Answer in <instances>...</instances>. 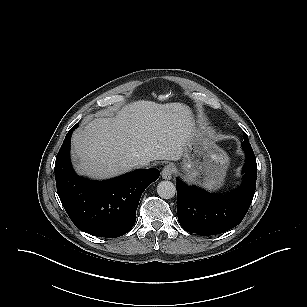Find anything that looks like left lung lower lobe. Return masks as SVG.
I'll return each instance as SVG.
<instances>
[{
	"label": "left lung lower lobe",
	"mask_w": 307,
	"mask_h": 307,
	"mask_svg": "<svg viewBox=\"0 0 307 307\" xmlns=\"http://www.w3.org/2000/svg\"><path fill=\"white\" fill-rule=\"evenodd\" d=\"M245 153L244 180L234 191L210 194L177 180V213L184 230L200 236L215 235L230 230L243 220L251 205L257 178L253 150H246Z\"/></svg>",
	"instance_id": "obj_1"
}]
</instances>
